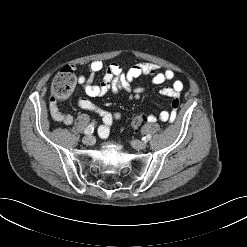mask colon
Wrapping results in <instances>:
<instances>
[{
	"label": "colon",
	"mask_w": 247,
	"mask_h": 247,
	"mask_svg": "<svg viewBox=\"0 0 247 247\" xmlns=\"http://www.w3.org/2000/svg\"><path fill=\"white\" fill-rule=\"evenodd\" d=\"M76 79L74 69L71 66L64 67L53 79L51 84L52 101L65 100L69 98L75 88ZM175 108L179 107V100L173 102ZM146 121L144 113L137 114L131 121L133 129H138Z\"/></svg>",
	"instance_id": "5ec220e1"
}]
</instances>
